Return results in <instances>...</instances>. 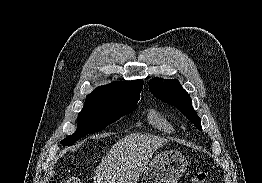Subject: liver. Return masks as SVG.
<instances>
[{"instance_id":"6515ba94","label":"liver","mask_w":262,"mask_h":183,"mask_svg":"<svg viewBox=\"0 0 262 183\" xmlns=\"http://www.w3.org/2000/svg\"><path fill=\"white\" fill-rule=\"evenodd\" d=\"M168 140L132 133L115 143L98 165L94 183H136L153 153Z\"/></svg>"}]
</instances>
